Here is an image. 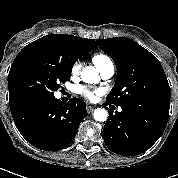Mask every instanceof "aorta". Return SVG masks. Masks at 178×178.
I'll use <instances>...</instances> for the list:
<instances>
[{
	"label": "aorta",
	"mask_w": 178,
	"mask_h": 178,
	"mask_svg": "<svg viewBox=\"0 0 178 178\" xmlns=\"http://www.w3.org/2000/svg\"><path fill=\"white\" fill-rule=\"evenodd\" d=\"M81 77L87 83H96L99 80L98 71L93 66L83 68ZM93 116L96 121L104 122L108 118V112L104 108H97L94 110Z\"/></svg>",
	"instance_id": "aorta-1"
}]
</instances>
